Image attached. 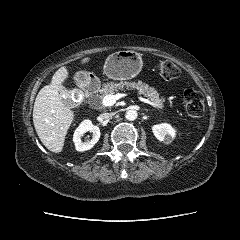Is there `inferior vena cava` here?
<instances>
[{"mask_svg":"<svg viewBox=\"0 0 240 240\" xmlns=\"http://www.w3.org/2000/svg\"><path fill=\"white\" fill-rule=\"evenodd\" d=\"M114 116V113H102L101 118L102 119H111Z\"/></svg>","mask_w":240,"mask_h":240,"instance_id":"obj_1","label":"inferior vena cava"}]
</instances>
